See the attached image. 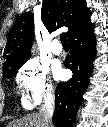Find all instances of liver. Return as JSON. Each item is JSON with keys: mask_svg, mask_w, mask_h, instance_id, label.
<instances>
[{"mask_svg": "<svg viewBox=\"0 0 108 127\" xmlns=\"http://www.w3.org/2000/svg\"><path fill=\"white\" fill-rule=\"evenodd\" d=\"M7 127H45V121L41 113L30 114L21 119L11 121Z\"/></svg>", "mask_w": 108, "mask_h": 127, "instance_id": "1", "label": "liver"}]
</instances>
